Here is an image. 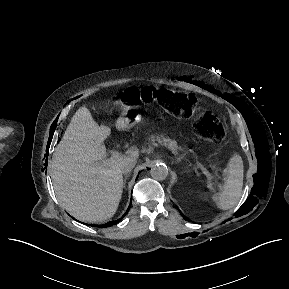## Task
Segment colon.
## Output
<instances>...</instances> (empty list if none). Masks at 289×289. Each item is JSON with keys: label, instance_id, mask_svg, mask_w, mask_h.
I'll use <instances>...</instances> for the list:
<instances>
[{"label": "colon", "instance_id": "1", "mask_svg": "<svg viewBox=\"0 0 289 289\" xmlns=\"http://www.w3.org/2000/svg\"><path fill=\"white\" fill-rule=\"evenodd\" d=\"M158 96L159 101L175 115L191 121L194 132L205 139L218 141L224 136L220 121L203 110L200 101L189 93L169 89L157 92L151 87L128 88L119 97L125 104L148 103Z\"/></svg>", "mask_w": 289, "mask_h": 289}]
</instances>
